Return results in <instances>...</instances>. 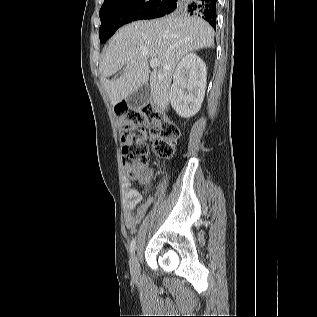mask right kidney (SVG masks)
Wrapping results in <instances>:
<instances>
[{"instance_id": "right-kidney-1", "label": "right kidney", "mask_w": 317, "mask_h": 317, "mask_svg": "<svg viewBox=\"0 0 317 317\" xmlns=\"http://www.w3.org/2000/svg\"><path fill=\"white\" fill-rule=\"evenodd\" d=\"M206 65L195 53L185 55L173 74L169 98L181 117L195 115L201 108L206 90Z\"/></svg>"}]
</instances>
